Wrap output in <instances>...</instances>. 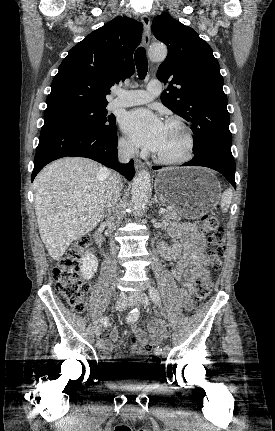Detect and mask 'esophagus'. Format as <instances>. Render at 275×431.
<instances>
[{"instance_id":"34e87169","label":"esophagus","mask_w":275,"mask_h":431,"mask_svg":"<svg viewBox=\"0 0 275 431\" xmlns=\"http://www.w3.org/2000/svg\"><path fill=\"white\" fill-rule=\"evenodd\" d=\"M141 23L143 25V45L145 48H148L150 44V39H151V31H150V19L146 14H143L141 16ZM134 163H135L136 170H140L145 167L144 163L139 159H135Z\"/></svg>"}]
</instances>
